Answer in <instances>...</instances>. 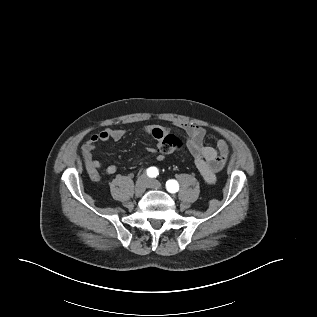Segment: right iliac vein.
I'll return each instance as SVG.
<instances>
[{"mask_svg":"<svg viewBox=\"0 0 317 317\" xmlns=\"http://www.w3.org/2000/svg\"><path fill=\"white\" fill-rule=\"evenodd\" d=\"M148 186V178L145 175H142L138 178L135 185L136 195H142Z\"/></svg>","mask_w":317,"mask_h":317,"instance_id":"obj_1","label":"right iliac vein"}]
</instances>
